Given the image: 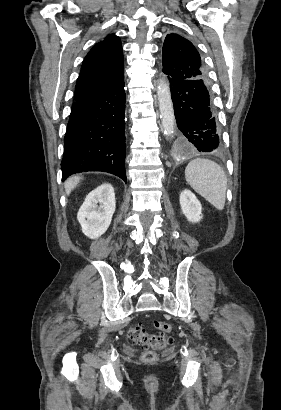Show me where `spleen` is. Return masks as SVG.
Masks as SVG:
<instances>
[{"mask_svg":"<svg viewBox=\"0 0 281 410\" xmlns=\"http://www.w3.org/2000/svg\"><path fill=\"white\" fill-rule=\"evenodd\" d=\"M188 184L216 209L223 210L226 200L227 177L223 169L209 159L196 158L185 169Z\"/></svg>","mask_w":281,"mask_h":410,"instance_id":"3e777b00","label":"spleen"}]
</instances>
